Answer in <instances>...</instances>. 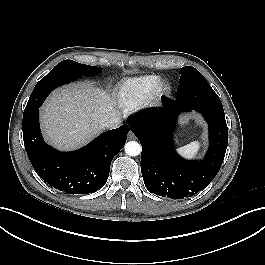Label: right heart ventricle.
<instances>
[{
  "label": "right heart ventricle",
  "instance_id": "e07e8e85",
  "mask_svg": "<svg viewBox=\"0 0 265 265\" xmlns=\"http://www.w3.org/2000/svg\"><path fill=\"white\" fill-rule=\"evenodd\" d=\"M159 81L157 76H141L124 81L117 92V104L129 111L138 107L152 92Z\"/></svg>",
  "mask_w": 265,
  "mask_h": 265
}]
</instances>
